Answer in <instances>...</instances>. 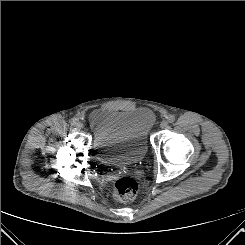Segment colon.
Returning <instances> with one entry per match:
<instances>
[{"label": "colon", "instance_id": "colon-1", "mask_svg": "<svg viewBox=\"0 0 245 245\" xmlns=\"http://www.w3.org/2000/svg\"><path fill=\"white\" fill-rule=\"evenodd\" d=\"M138 192V183L131 177H122L114 183L113 195L121 202L133 200Z\"/></svg>", "mask_w": 245, "mask_h": 245}]
</instances>
